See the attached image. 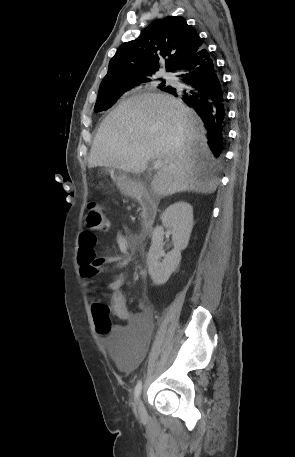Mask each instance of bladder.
Returning <instances> with one entry per match:
<instances>
[{
  "label": "bladder",
  "mask_w": 295,
  "mask_h": 457,
  "mask_svg": "<svg viewBox=\"0 0 295 457\" xmlns=\"http://www.w3.org/2000/svg\"><path fill=\"white\" fill-rule=\"evenodd\" d=\"M105 347L111 348V355L121 370H130L140 365L148 338H105Z\"/></svg>",
  "instance_id": "31cf9c89"
}]
</instances>
